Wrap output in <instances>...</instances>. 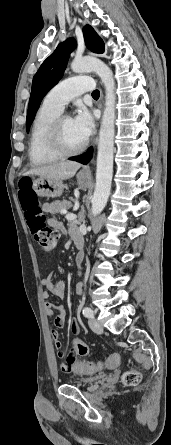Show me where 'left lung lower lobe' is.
Segmentation results:
<instances>
[{"instance_id": "1", "label": "left lung lower lobe", "mask_w": 171, "mask_h": 445, "mask_svg": "<svg viewBox=\"0 0 171 445\" xmlns=\"http://www.w3.org/2000/svg\"><path fill=\"white\" fill-rule=\"evenodd\" d=\"M92 156H93V147H90L89 150L83 153L82 155L72 157L70 158V160H74L82 164H87L89 160L92 158Z\"/></svg>"}]
</instances>
